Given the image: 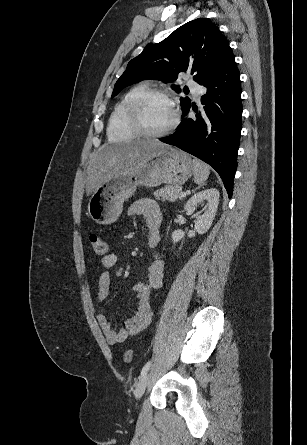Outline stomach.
Wrapping results in <instances>:
<instances>
[{
	"label": "stomach",
	"instance_id": "stomach-1",
	"mask_svg": "<svg viewBox=\"0 0 307 445\" xmlns=\"http://www.w3.org/2000/svg\"><path fill=\"white\" fill-rule=\"evenodd\" d=\"M192 174L193 162L188 154L163 148L132 170L112 174L107 182H102L88 202V212L98 225H112L122 214L124 200L134 194L138 184L147 188L162 182L180 186Z\"/></svg>",
	"mask_w": 307,
	"mask_h": 445
}]
</instances>
